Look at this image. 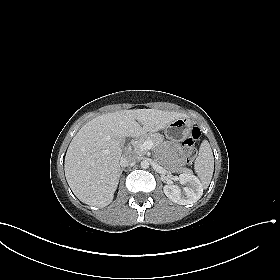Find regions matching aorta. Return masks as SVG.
<instances>
[{
  "instance_id": "762f6f07",
  "label": "aorta",
  "mask_w": 280,
  "mask_h": 280,
  "mask_svg": "<svg viewBox=\"0 0 280 280\" xmlns=\"http://www.w3.org/2000/svg\"><path fill=\"white\" fill-rule=\"evenodd\" d=\"M149 161L148 160H143V161H141V167L143 168V169H147V168H149Z\"/></svg>"
}]
</instances>
